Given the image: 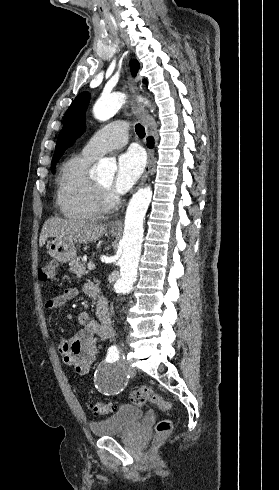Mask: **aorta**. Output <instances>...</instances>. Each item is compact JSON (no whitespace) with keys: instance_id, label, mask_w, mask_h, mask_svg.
I'll use <instances>...</instances> for the list:
<instances>
[{"instance_id":"aorta-1","label":"aorta","mask_w":279,"mask_h":490,"mask_svg":"<svg viewBox=\"0 0 279 490\" xmlns=\"http://www.w3.org/2000/svg\"><path fill=\"white\" fill-rule=\"evenodd\" d=\"M124 103L125 97L121 93L103 96L96 101L93 107V114L96 119L106 121L113 117ZM115 170V162L106 158L99 161L95 172L99 177H111ZM151 198L152 190L149 186L139 189L132 196L127 207L121 240L123 252L119 260L120 277L114 284L116 293H128L133 287L142 249L143 222Z\"/></svg>"}]
</instances>
